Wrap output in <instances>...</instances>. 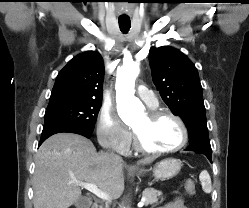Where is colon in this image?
I'll use <instances>...</instances> for the list:
<instances>
[{"mask_svg": "<svg viewBox=\"0 0 249 208\" xmlns=\"http://www.w3.org/2000/svg\"><path fill=\"white\" fill-rule=\"evenodd\" d=\"M185 190L189 195H194L196 191V185L194 181L188 180L185 184Z\"/></svg>", "mask_w": 249, "mask_h": 208, "instance_id": "obj_1", "label": "colon"}]
</instances>
